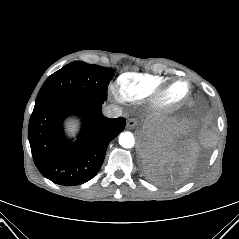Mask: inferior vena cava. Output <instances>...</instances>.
Returning <instances> with one entry per match:
<instances>
[{
	"label": "inferior vena cava",
	"instance_id": "inferior-vena-cava-1",
	"mask_svg": "<svg viewBox=\"0 0 239 239\" xmlns=\"http://www.w3.org/2000/svg\"><path fill=\"white\" fill-rule=\"evenodd\" d=\"M103 114L108 118H117L122 115V108L115 104L107 105L103 109Z\"/></svg>",
	"mask_w": 239,
	"mask_h": 239
}]
</instances>
